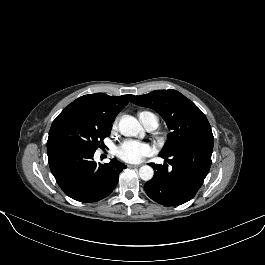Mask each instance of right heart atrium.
I'll use <instances>...</instances> for the list:
<instances>
[{"instance_id":"right-heart-atrium-1","label":"right heart atrium","mask_w":265,"mask_h":265,"mask_svg":"<svg viewBox=\"0 0 265 265\" xmlns=\"http://www.w3.org/2000/svg\"><path fill=\"white\" fill-rule=\"evenodd\" d=\"M116 124H117V122L115 121L114 124H113V127H116Z\"/></svg>"}]
</instances>
